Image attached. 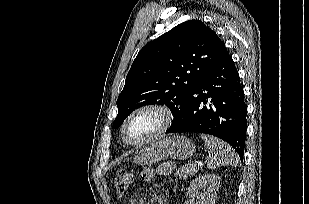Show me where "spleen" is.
Returning <instances> with one entry per match:
<instances>
[{"label":"spleen","instance_id":"3e777b00","mask_svg":"<svg viewBox=\"0 0 309 204\" xmlns=\"http://www.w3.org/2000/svg\"><path fill=\"white\" fill-rule=\"evenodd\" d=\"M201 138L205 141L208 149L206 157L207 167L215 169L220 166H237L239 157L236 152L225 142L205 134H201Z\"/></svg>","mask_w":309,"mask_h":204}]
</instances>
